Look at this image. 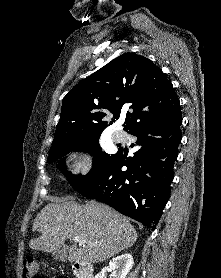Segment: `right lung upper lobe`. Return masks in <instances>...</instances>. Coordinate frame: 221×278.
<instances>
[{
  "label": "right lung upper lobe",
  "instance_id": "right-lung-upper-lobe-1",
  "mask_svg": "<svg viewBox=\"0 0 221 278\" xmlns=\"http://www.w3.org/2000/svg\"><path fill=\"white\" fill-rule=\"evenodd\" d=\"M172 83L148 58L125 53L75 85L63 98L51 149L100 135L120 115L124 130L180 112ZM115 119L108 121L109 115ZM50 149V150H51Z\"/></svg>",
  "mask_w": 221,
  "mask_h": 278
}]
</instances>
